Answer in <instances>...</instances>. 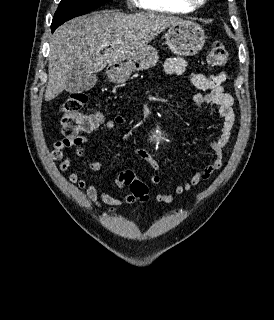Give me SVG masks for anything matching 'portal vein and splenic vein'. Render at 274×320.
I'll list each match as a JSON object with an SVG mask.
<instances>
[{
	"mask_svg": "<svg viewBox=\"0 0 274 320\" xmlns=\"http://www.w3.org/2000/svg\"><path fill=\"white\" fill-rule=\"evenodd\" d=\"M103 46H108V44H103Z\"/></svg>",
	"mask_w": 274,
	"mask_h": 320,
	"instance_id": "obj_1",
	"label": "portal vein and splenic vein"
}]
</instances>
